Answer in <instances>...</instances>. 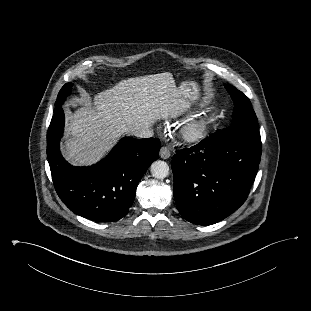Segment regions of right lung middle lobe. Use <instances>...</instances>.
Returning <instances> with one entry per match:
<instances>
[{
	"label": "right lung middle lobe",
	"instance_id": "dd1d6c3e",
	"mask_svg": "<svg viewBox=\"0 0 311 311\" xmlns=\"http://www.w3.org/2000/svg\"><path fill=\"white\" fill-rule=\"evenodd\" d=\"M72 88V83H66L62 89L60 90L57 100L55 102L56 109L61 107L63 102L65 101L66 97L70 94Z\"/></svg>",
	"mask_w": 311,
	"mask_h": 311
}]
</instances>
